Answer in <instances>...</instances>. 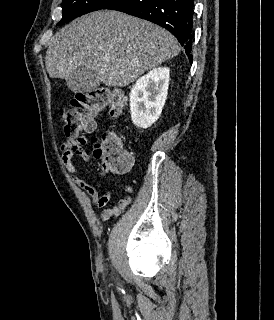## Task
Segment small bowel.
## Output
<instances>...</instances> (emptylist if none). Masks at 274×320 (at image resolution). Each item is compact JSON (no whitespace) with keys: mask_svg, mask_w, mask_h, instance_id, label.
Wrapping results in <instances>:
<instances>
[{"mask_svg":"<svg viewBox=\"0 0 274 320\" xmlns=\"http://www.w3.org/2000/svg\"><path fill=\"white\" fill-rule=\"evenodd\" d=\"M96 124V119L85 120L87 131H96ZM88 144H90V139L85 136L67 139L61 146L62 162L72 180L90 197L92 204L97 208H104L111 200L110 192L106 191L103 195H100V191L103 189V186L83 179L73 163L76 156L81 157L86 163L89 162L90 156L84 150V146ZM95 154L99 158H102L104 155V153L99 150H96ZM125 161H134V158L130 153H126ZM131 169L132 168H121L118 173L124 174L129 172ZM123 189L127 194L122 196L115 206L103 209L101 212L102 221H109L112 218L120 216L130 205L133 189L129 185H123Z\"/></svg>","mask_w":274,"mask_h":320,"instance_id":"small-bowel-1","label":"small bowel"}]
</instances>
